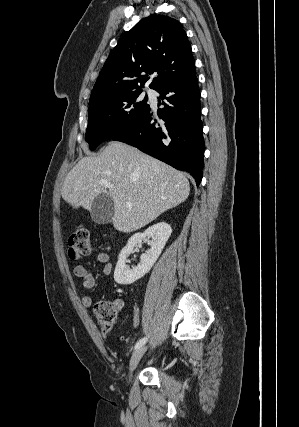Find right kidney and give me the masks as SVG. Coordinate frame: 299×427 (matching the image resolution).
Here are the masks:
<instances>
[{"label": "right kidney", "instance_id": "obj_1", "mask_svg": "<svg viewBox=\"0 0 299 427\" xmlns=\"http://www.w3.org/2000/svg\"><path fill=\"white\" fill-rule=\"evenodd\" d=\"M172 233V228L166 222H159L146 229L143 233H137L129 238L127 245L119 254L118 262L114 271V280L118 284H132L150 271L160 256L166 242ZM146 240L150 250L140 258V263L133 269L126 265L128 256L134 247Z\"/></svg>", "mask_w": 299, "mask_h": 427}]
</instances>
